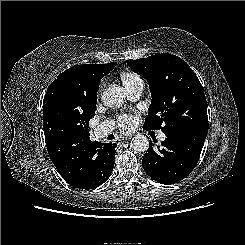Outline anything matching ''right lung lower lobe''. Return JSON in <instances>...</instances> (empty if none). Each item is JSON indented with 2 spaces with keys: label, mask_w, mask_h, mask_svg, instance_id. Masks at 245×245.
I'll return each instance as SVG.
<instances>
[{
  "label": "right lung lower lobe",
  "mask_w": 245,
  "mask_h": 245,
  "mask_svg": "<svg viewBox=\"0 0 245 245\" xmlns=\"http://www.w3.org/2000/svg\"><path fill=\"white\" fill-rule=\"evenodd\" d=\"M49 156L62 178L79 189H93L104 183L115 164L116 143L92 142L88 136L77 143L45 140Z\"/></svg>",
  "instance_id": "98d812e1"
}]
</instances>
